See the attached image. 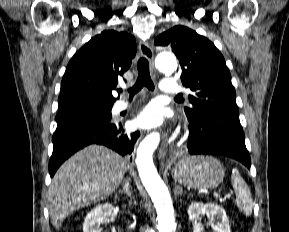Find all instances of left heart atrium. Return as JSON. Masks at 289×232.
I'll return each mask as SVG.
<instances>
[{
  "label": "left heart atrium",
  "mask_w": 289,
  "mask_h": 232,
  "mask_svg": "<svg viewBox=\"0 0 289 232\" xmlns=\"http://www.w3.org/2000/svg\"><path fill=\"white\" fill-rule=\"evenodd\" d=\"M133 123L140 129H154L164 123V116L157 106L150 105L136 116Z\"/></svg>",
  "instance_id": "39dd6f15"
}]
</instances>
